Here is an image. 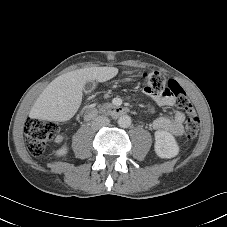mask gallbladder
<instances>
[{
    "label": "gallbladder",
    "instance_id": "obj_1",
    "mask_svg": "<svg viewBox=\"0 0 227 227\" xmlns=\"http://www.w3.org/2000/svg\"><path fill=\"white\" fill-rule=\"evenodd\" d=\"M96 87V84L94 81H87L86 84L84 85V92L89 93L92 92Z\"/></svg>",
    "mask_w": 227,
    "mask_h": 227
}]
</instances>
